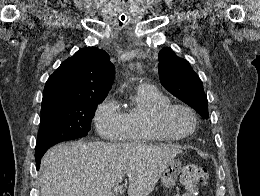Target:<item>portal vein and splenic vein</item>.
Masks as SVG:
<instances>
[{
	"instance_id": "18ae733b",
	"label": "portal vein and splenic vein",
	"mask_w": 260,
	"mask_h": 196,
	"mask_svg": "<svg viewBox=\"0 0 260 196\" xmlns=\"http://www.w3.org/2000/svg\"><path fill=\"white\" fill-rule=\"evenodd\" d=\"M123 190V186H115V188H113V192H115V194H118V192H122Z\"/></svg>"
}]
</instances>
